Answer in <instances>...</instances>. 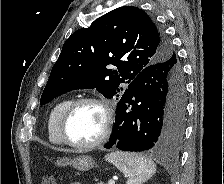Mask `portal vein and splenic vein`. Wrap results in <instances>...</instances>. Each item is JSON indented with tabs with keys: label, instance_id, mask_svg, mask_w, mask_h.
<instances>
[{
	"label": "portal vein and splenic vein",
	"instance_id": "18ae733b",
	"mask_svg": "<svg viewBox=\"0 0 224 184\" xmlns=\"http://www.w3.org/2000/svg\"><path fill=\"white\" fill-rule=\"evenodd\" d=\"M108 184H115V181L112 180V179H110V180L108 181Z\"/></svg>",
	"mask_w": 224,
	"mask_h": 184
}]
</instances>
